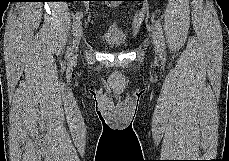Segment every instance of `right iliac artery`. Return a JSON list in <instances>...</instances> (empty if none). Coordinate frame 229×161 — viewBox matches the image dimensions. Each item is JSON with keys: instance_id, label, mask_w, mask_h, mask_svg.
Instances as JSON below:
<instances>
[{"instance_id": "82829eb1", "label": "right iliac artery", "mask_w": 229, "mask_h": 161, "mask_svg": "<svg viewBox=\"0 0 229 161\" xmlns=\"http://www.w3.org/2000/svg\"><path fill=\"white\" fill-rule=\"evenodd\" d=\"M81 17H82L81 13L77 12L73 20V26H72L73 31H75L79 26ZM69 56H70V48H68L66 53V57L69 58Z\"/></svg>"}]
</instances>
